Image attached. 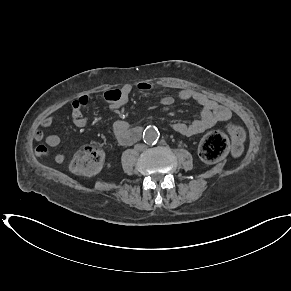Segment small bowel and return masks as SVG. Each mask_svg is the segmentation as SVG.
Segmentation results:
<instances>
[{
	"instance_id": "small-bowel-1",
	"label": "small bowel",
	"mask_w": 291,
	"mask_h": 291,
	"mask_svg": "<svg viewBox=\"0 0 291 291\" xmlns=\"http://www.w3.org/2000/svg\"><path fill=\"white\" fill-rule=\"evenodd\" d=\"M137 87L140 90L148 91L152 89V85L146 80H139ZM131 84H124L118 88H110L104 93L105 111L107 113H116L124 108L130 98L132 92ZM179 98L182 100H192L199 104L202 108L200 117L193 120L190 123L177 122L173 125V129L184 136H193L203 133L210 129L218 122H224L231 118L230 110L212 98L208 97L202 92L185 88L179 92ZM89 98L86 95L80 96L73 100L71 106V120L77 127L84 128L88 126L90 119L84 114V108L88 104ZM174 103V98L171 96H164L161 98V104L164 106H171ZM62 107H59L49 114H47L40 123V128L34 133V138L37 141L45 140L48 147L56 148L61 144V138L58 135L51 134L45 137L43 129L48 128L61 113ZM143 127H130L125 120H117L113 124V134L116 140L123 146H128L136 142L142 132ZM43 147L44 150L40 151L39 148ZM48 148L44 145H40L36 149L38 156L48 155ZM66 160V156L62 153L55 155V161L57 163H63Z\"/></svg>"
}]
</instances>
